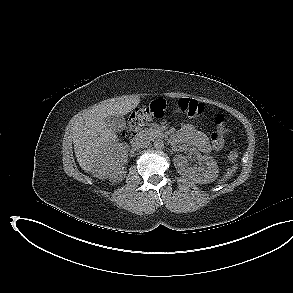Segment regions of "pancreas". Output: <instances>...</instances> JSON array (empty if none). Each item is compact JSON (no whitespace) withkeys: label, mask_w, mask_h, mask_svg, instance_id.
Returning a JSON list of instances; mask_svg holds the SVG:
<instances>
[{"label":"pancreas","mask_w":293,"mask_h":293,"mask_svg":"<svg viewBox=\"0 0 293 293\" xmlns=\"http://www.w3.org/2000/svg\"><path fill=\"white\" fill-rule=\"evenodd\" d=\"M143 136H145L148 139H155V138H161L164 136V133L158 126H153L150 128H146L143 130Z\"/></svg>","instance_id":"pancreas-1"}]
</instances>
